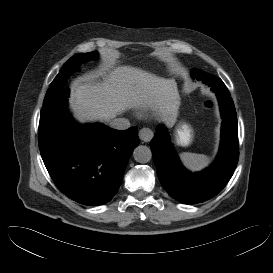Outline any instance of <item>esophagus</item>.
Returning <instances> with one entry per match:
<instances>
[{
	"label": "esophagus",
	"mask_w": 273,
	"mask_h": 273,
	"mask_svg": "<svg viewBox=\"0 0 273 273\" xmlns=\"http://www.w3.org/2000/svg\"><path fill=\"white\" fill-rule=\"evenodd\" d=\"M138 134H139L140 140H142L143 142H149L153 137L152 130H150L148 128L140 129Z\"/></svg>",
	"instance_id": "1"
}]
</instances>
